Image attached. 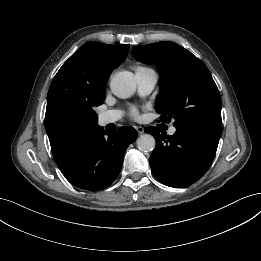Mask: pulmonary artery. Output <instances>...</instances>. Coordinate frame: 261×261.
I'll return each instance as SVG.
<instances>
[{
    "instance_id": "e3ab8cb5",
    "label": "pulmonary artery",
    "mask_w": 261,
    "mask_h": 261,
    "mask_svg": "<svg viewBox=\"0 0 261 261\" xmlns=\"http://www.w3.org/2000/svg\"><path fill=\"white\" fill-rule=\"evenodd\" d=\"M136 79L139 87V91L142 94L150 93L157 82V75L154 71H148L143 73H137ZM122 117V112L120 110H108L99 115V123L103 126L115 123L119 121ZM176 131L175 127H170L169 134L173 135Z\"/></svg>"
}]
</instances>
